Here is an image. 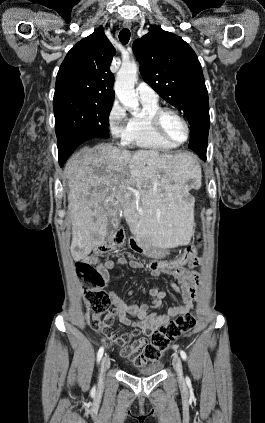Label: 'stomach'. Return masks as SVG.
Returning <instances> with one entry per match:
<instances>
[{
	"label": "stomach",
	"mask_w": 265,
	"mask_h": 423,
	"mask_svg": "<svg viewBox=\"0 0 265 423\" xmlns=\"http://www.w3.org/2000/svg\"><path fill=\"white\" fill-rule=\"evenodd\" d=\"M139 246L142 248V251L150 258H163L169 254V251L162 248H156L154 246H150L145 242H138Z\"/></svg>",
	"instance_id": "obj_1"
}]
</instances>
